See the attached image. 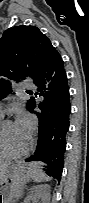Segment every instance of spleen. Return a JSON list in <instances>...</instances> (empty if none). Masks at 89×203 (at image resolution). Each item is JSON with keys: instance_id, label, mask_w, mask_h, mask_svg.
I'll use <instances>...</instances> for the list:
<instances>
[{"instance_id": "obj_1", "label": "spleen", "mask_w": 89, "mask_h": 203, "mask_svg": "<svg viewBox=\"0 0 89 203\" xmlns=\"http://www.w3.org/2000/svg\"><path fill=\"white\" fill-rule=\"evenodd\" d=\"M40 165L41 164H34L32 167H30L27 171V176L36 183L50 181L52 178L46 175L43 170H41Z\"/></svg>"}]
</instances>
